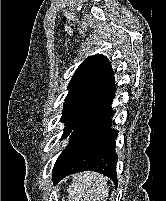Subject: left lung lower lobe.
<instances>
[{"mask_svg":"<svg viewBox=\"0 0 166 201\" xmlns=\"http://www.w3.org/2000/svg\"><path fill=\"white\" fill-rule=\"evenodd\" d=\"M112 97L88 120L70 135V142L58 157L52 173V181L58 183L70 174L92 170L104 174L118 185L115 139L118 131L111 129Z\"/></svg>","mask_w":166,"mask_h":201,"instance_id":"1","label":"left lung lower lobe"}]
</instances>
